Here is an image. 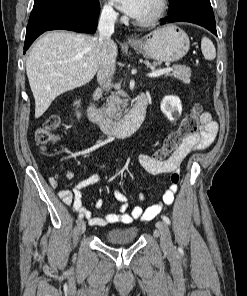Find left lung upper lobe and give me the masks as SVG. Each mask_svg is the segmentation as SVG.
Wrapping results in <instances>:
<instances>
[{
    "mask_svg": "<svg viewBox=\"0 0 247 296\" xmlns=\"http://www.w3.org/2000/svg\"><path fill=\"white\" fill-rule=\"evenodd\" d=\"M170 1V9L169 11H174L184 5L188 0H169Z\"/></svg>",
    "mask_w": 247,
    "mask_h": 296,
    "instance_id": "left-lung-upper-lobe-1",
    "label": "left lung upper lobe"
}]
</instances>
